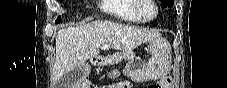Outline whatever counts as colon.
Returning a JSON list of instances; mask_svg holds the SVG:
<instances>
[{"label":"colon","instance_id":"5ec220e1","mask_svg":"<svg viewBox=\"0 0 227 88\" xmlns=\"http://www.w3.org/2000/svg\"><path fill=\"white\" fill-rule=\"evenodd\" d=\"M150 88H163V87H162V85L157 84V85H152V86H150Z\"/></svg>","mask_w":227,"mask_h":88}]
</instances>
